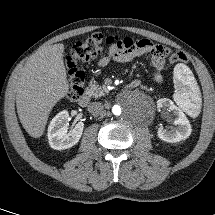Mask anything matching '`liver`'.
<instances>
[{"label":"liver","instance_id":"6515ba94","mask_svg":"<svg viewBox=\"0 0 215 215\" xmlns=\"http://www.w3.org/2000/svg\"><path fill=\"white\" fill-rule=\"evenodd\" d=\"M63 51L61 43L42 47L14 76L18 117L34 138L43 135L52 108L69 91Z\"/></svg>","mask_w":215,"mask_h":215}]
</instances>
